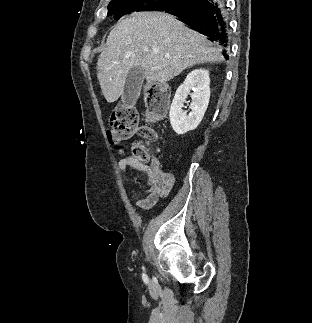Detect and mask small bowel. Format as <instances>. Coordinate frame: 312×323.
Here are the masks:
<instances>
[{
    "label": "small bowel",
    "mask_w": 312,
    "mask_h": 323,
    "mask_svg": "<svg viewBox=\"0 0 312 323\" xmlns=\"http://www.w3.org/2000/svg\"><path fill=\"white\" fill-rule=\"evenodd\" d=\"M118 167L122 172H126L131 167L147 175V187L143 190L146 197L135 201L136 208L140 210L152 208L160 198L170 193L175 184L174 175L162 171L156 158H153L149 163H143L134 157H121Z\"/></svg>",
    "instance_id": "1"
}]
</instances>
